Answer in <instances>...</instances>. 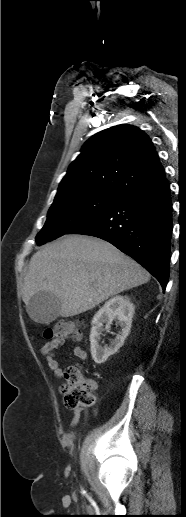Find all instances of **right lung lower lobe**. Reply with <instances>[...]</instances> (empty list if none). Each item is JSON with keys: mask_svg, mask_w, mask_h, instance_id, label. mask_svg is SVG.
<instances>
[{"mask_svg": "<svg viewBox=\"0 0 186 517\" xmlns=\"http://www.w3.org/2000/svg\"><path fill=\"white\" fill-rule=\"evenodd\" d=\"M172 203L166 178L123 194L68 234L106 240L148 270L165 290L169 278Z\"/></svg>", "mask_w": 186, "mask_h": 517, "instance_id": "98d812e1", "label": "right lung lower lobe"}]
</instances>
